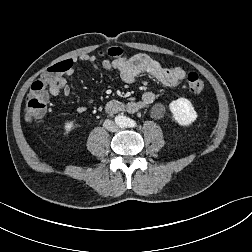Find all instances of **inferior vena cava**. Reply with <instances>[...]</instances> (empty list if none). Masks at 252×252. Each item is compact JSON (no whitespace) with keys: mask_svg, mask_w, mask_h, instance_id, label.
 Listing matches in <instances>:
<instances>
[{"mask_svg":"<svg viewBox=\"0 0 252 252\" xmlns=\"http://www.w3.org/2000/svg\"><path fill=\"white\" fill-rule=\"evenodd\" d=\"M103 126L105 129H107L110 132H115L118 130L117 125L112 120H109V119L104 121Z\"/></svg>","mask_w":252,"mask_h":252,"instance_id":"inferior-vena-cava-1","label":"inferior vena cava"}]
</instances>
